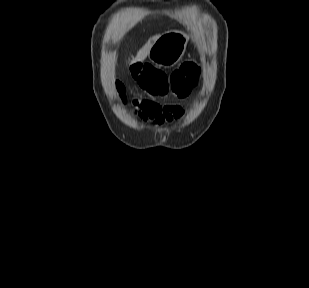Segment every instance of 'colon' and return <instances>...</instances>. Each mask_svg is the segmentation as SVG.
<instances>
[{"instance_id": "obj_1", "label": "colon", "mask_w": 309, "mask_h": 288, "mask_svg": "<svg viewBox=\"0 0 309 288\" xmlns=\"http://www.w3.org/2000/svg\"><path fill=\"white\" fill-rule=\"evenodd\" d=\"M132 72L138 83L154 96L172 95L183 98L201 83L199 67L193 62L182 64L171 75L153 66L143 70L140 66L134 65ZM116 88L119 92L123 91L121 83H117Z\"/></svg>"}]
</instances>
